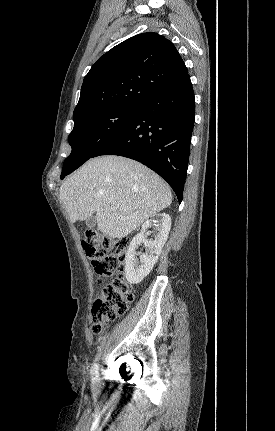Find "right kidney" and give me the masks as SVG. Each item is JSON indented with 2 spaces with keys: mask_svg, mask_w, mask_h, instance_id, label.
I'll return each instance as SVG.
<instances>
[{
  "mask_svg": "<svg viewBox=\"0 0 275 431\" xmlns=\"http://www.w3.org/2000/svg\"><path fill=\"white\" fill-rule=\"evenodd\" d=\"M159 220H148L142 225V230L131 241L125 256V277L131 284L140 283L153 269L156 264L162 248L167 241L171 228V217L169 214L162 213L158 215ZM158 223V234L153 241L147 240L145 231L152 225ZM143 243L146 252L140 256V260L135 257L136 248Z\"/></svg>",
  "mask_w": 275,
  "mask_h": 431,
  "instance_id": "obj_1",
  "label": "right kidney"
}]
</instances>
